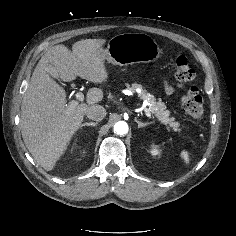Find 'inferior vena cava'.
Segmentation results:
<instances>
[{
    "label": "inferior vena cava",
    "mask_w": 236,
    "mask_h": 236,
    "mask_svg": "<svg viewBox=\"0 0 236 236\" xmlns=\"http://www.w3.org/2000/svg\"><path fill=\"white\" fill-rule=\"evenodd\" d=\"M86 116L94 121H100L106 116V109L101 105H92L86 111Z\"/></svg>",
    "instance_id": "obj_1"
}]
</instances>
